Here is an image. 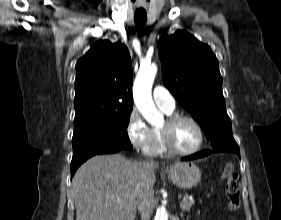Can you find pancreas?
<instances>
[{"instance_id":"obj_1","label":"pancreas","mask_w":281,"mask_h":220,"mask_svg":"<svg viewBox=\"0 0 281 220\" xmlns=\"http://www.w3.org/2000/svg\"><path fill=\"white\" fill-rule=\"evenodd\" d=\"M193 204H194V200L189 199L188 196L185 195V197L183 198V201L181 202V209L183 211H190Z\"/></svg>"}]
</instances>
